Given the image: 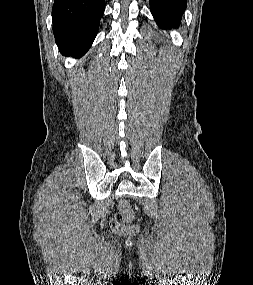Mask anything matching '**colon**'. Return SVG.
Returning a JSON list of instances; mask_svg holds the SVG:
<instances>
[{"label":"colon","instance_id":"colon-1","mask_svg":"<svg viewBox=\"0 0 253 285\" xmlns=\"http://www.w3.org/2000/svg\"><path fill=\"white\" fill-rule=\"evenodd\" d=\"M134 212L127 200H121L119 203V211L111 221L112 229L119 234H135L138 231L136 225L133 224Z\"/></svg>","mask_w":253,"mask_h":285}]
</instances>
